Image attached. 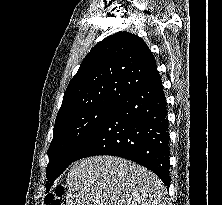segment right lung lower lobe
Instances as JSON below:
<instances>
[{
    "label": "right lung lower lobe",
    "mask_w": 222,
    "mask_h": 205,
    "mask_svg": "<svg viewBox=\"0 0 222 205\" xmlns=\"http://www.w3.org/2000/svg\"><path fill=\"white\" fill-rule=\"evenodd\" d=\"M160 76L122 98L84 143L74 161L112 155L132 160L170 184L169 133Z\"/></svg>",
    "instance_id": "right-lung-lower-lobe-1"
}]
</instances>
